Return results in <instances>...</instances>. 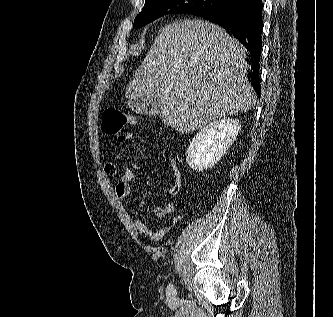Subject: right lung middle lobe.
I'll return each mask as SVG.
<instances>
[{
	"label": "right lung middle lobe",
	"mask_w": 333,
	"mask_h": 317,
	"mask_svg": "<svg viewBox=\"0 0 333 317\" xmlns=\"http://www.w3.org/2000/svg\"><path fill=\"white\" fill-rule=\"evenodd\" d=\"M225 3V0H146L143 10L134 21V27H141L167 14L196 15Z\"/></svg>",
	"instance_id": "1"
}]
</instances>
